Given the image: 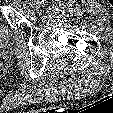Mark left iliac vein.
I'll use <instances>...</instances> for the list:
<instances>
[{
    "label": "left iliac vein",
    "mask_w": 113,
    "mask_h": 113,
    "mask_svg": "<svg viewBox=\"0 0 113 113\" xmlns=\"http://www.w3.org/2000/svg\"><path fill=\"white\" fill-rule=\"evenodd\" d=\"M36 6H37L36 1L31 0V1H30V7H31L32 9H35Z\"/></svg>",
    "instance_id": "1"
}]
</instances>
